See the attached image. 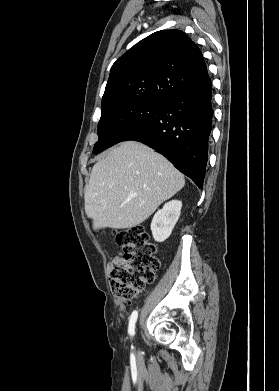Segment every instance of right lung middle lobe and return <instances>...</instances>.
Here are the masks:
<instances>
[{
  "label": "right lung middle lobe",
  "mask_w": 279,
  "mask_h": 391,
  "mask_svg": "<svg viewBox=\"0 0 279 391\" xmlns=\"http://www.w3.org/2000/svg\"><path fill=\"white\" fill-rule=\"evenodd\" d=\"M163 102L140 101L119 106L101 114L97 131L99 140L93 153L117 144L136 128L150 122L161 109Z\"/></svg>",
  "instance_id": "obj_1"
}]
</instances>
